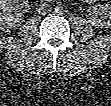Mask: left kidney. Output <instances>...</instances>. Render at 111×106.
<instances>
[{"label": "left kidney", "mask_w": 111, "mask_h": 106, "mask_svg": "<svg viewBox=\"0 0 111 106\" xmlns=\"http://www.w3.org/2000/svg\"><path fill=\"white\" fill-rule=\"evenodd\" d=\"M88 12L93 15V21L101 26L111 25V7L108 5H98L89 8Z\"/></svg>", "instance_id": "1"}]
</instances>
